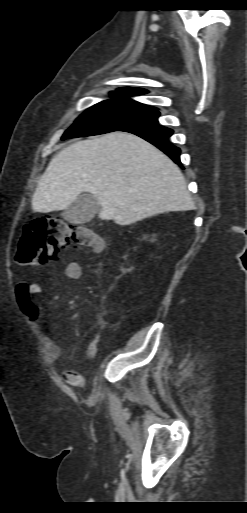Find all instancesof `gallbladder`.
I'll return each instance as SVG.
<instances>
[{"instance_id": "gallbladder-1", "label": "gallbladder", "mask_w": 247, "mask_h": 513, "mask_svg": "<svg viewBox=\"0 0 247 513\" xmlns=\"http://www.w3.org/2000/svg\"><path fill=\"white\" fill-rule=\"evenodd\" d=\"M99 210L97 199L91 194H83L63 211L62 216L69 223L84 224L91 221Z\"/></svg>"}]
</instances>
